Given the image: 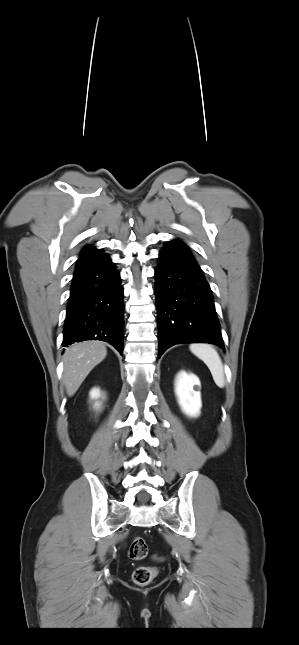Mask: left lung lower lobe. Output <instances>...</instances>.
I'll return each instance as SVG.
<instances>
[{"label": "left lung lower lobe", "mask_w": 299, "mask_h": 645, "mask_svg": "<svg viewBox=\"0 0 299 645\" xmlns=\"http://www.w3.org/2000/svg\"><path fill=\"white\" fill-rule=\"evenodd\" d=\"M155 268L160 356L182 343H212L224 349L210 286L188 247L166 242Z\"/></svg>", "instance_id": "1"}]
</instances>
